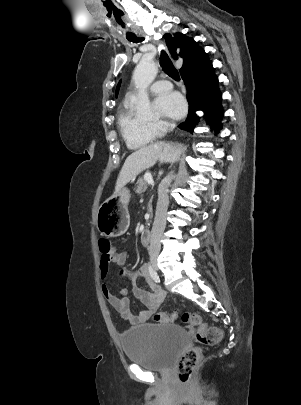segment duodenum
Masks as SVG:
<instances>
[{"label":"duodenum","mask_w":301,"mask_h":405,"mask_svg":"<svg viewBox=\"0 0 301 405\" xmlns=\"http://www.w3.org/2000/svg\"><path fill=\"white\" fill-rule=\"evenodd\" d=\"M140 240H141V243L143 245H145V246L150 244V232H149V230L145 229V230L142 231V233L140 235Z\"/></svg>","instance_id":"410a0bca"}]
</instances>
